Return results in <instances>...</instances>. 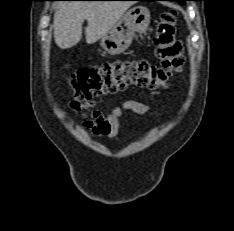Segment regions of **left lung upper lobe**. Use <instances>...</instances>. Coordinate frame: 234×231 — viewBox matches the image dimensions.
<instances>
[{
    "label": "left lung upper lobe",
    "mask_w": 234,
    "mask_h": 231,
    "mask_svg": "<svg viewBox=\"0 0 234 231\" xmlns=\"http://www.w3.org/2000/svg\"><path fill=\"white\" fill-rule=\"evenodd\" d=\"M177 2H179L180 4H184L185 1H189V0H176Z\"/></svg>",
    "instance_id": "obj_1"
}]
</instances>
